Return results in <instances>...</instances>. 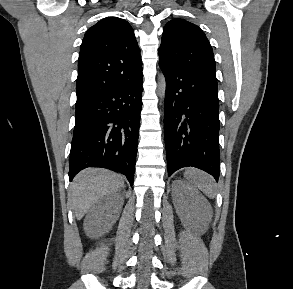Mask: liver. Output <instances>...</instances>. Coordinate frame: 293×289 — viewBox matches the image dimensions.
Instances as JSON below:
<instances>
[{"label": "liver", "mask_w": 293, "mask_h": 289, "mask_svg": "<svg viewBox=\"0 0 293 289\" xmlns=\"http://www.w3.org/2000/svg\"><path fill=\"white\" fill-rule=\"evenodd\" d=\"M124 186V178L103 168H87L81 171L70 185L69 201L78 220L103 196Z\"/></svg>", "instance_id": "liver-1"}]
</instances>
